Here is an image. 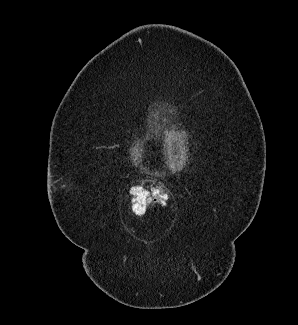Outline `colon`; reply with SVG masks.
Here are the masks:
<instances>
[{
  "mask_svg": "<svg viewBox=\"0 0 298 325\" xmlns=\"http://www.w3.org/2000/svg\"><path fill=\"white\" fill-rule=\"evenodd\" d=\"M167 200V193L163 187L147 188L135 186L131 191L133 211L137 214H145L149 207L154 204H164Z\"/></svg>",
  "mask_w": 298,
  "mask_h": 325,
  "instance_id": "5ec220e1",
  "label": "colon"
}]
</instances>
